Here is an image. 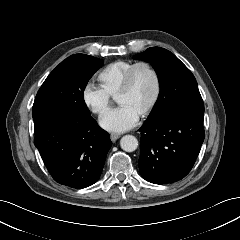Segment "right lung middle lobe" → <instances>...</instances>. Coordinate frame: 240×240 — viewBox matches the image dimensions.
Masks as SVG:
<instances>
[{
    "mask_svg": "<svg viewBox=\"0 0 240 240\" xmlns=\"http://www.w3.org/2000/svg\"><path fill=\"white\" fill-rule=\"evenodd\" d=\"M103 60L86 54H75L61 62L40 87L33 112L58 110L89 116L84 102V90Z\"/></svg>",
    "mask_w": 240,
    "mask_h": 240,
    "instance_id": "dd1d6c3e",
    "label": "right lung middle lobe"
}]
</instances>
